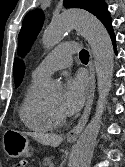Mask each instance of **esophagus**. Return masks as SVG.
Listing matches in <instances>:
<instances>
[{"instance_id": "1", "label": "esophagus", "mask_w": 125, "mask_h": 167, "mask_svg": "<svg viewBox=\"0 0 125 167\" xmlns=\"http://www.w3.org/2000/svg\"><path fill=\"white\" fill-rule=\"evenodd\" d=\"M89 72H90V87L88 90L85 108L77 125L67 133L66 138L68 140H76L79 137L81 131L83 130L85 124L87 123V120L91 112L94 95H95V87H96L95 68L93 63V56L91 53H90V62H89Z\"/></svg>"}]
</instances>
